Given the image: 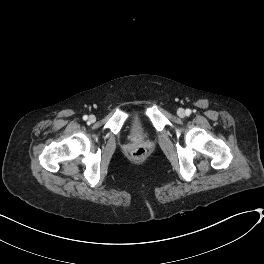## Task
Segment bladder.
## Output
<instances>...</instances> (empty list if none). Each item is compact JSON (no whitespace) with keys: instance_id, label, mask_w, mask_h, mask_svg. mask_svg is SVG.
<instances>
[{"instance_id":"bladder-1","label":"bladder","mask_w":264,"mask_h":264,"mask_svg":"<svg viewBox=\"0 0 264 264\" xmlns=\"http://www.w3.org/2000/svg\"><path fill=\"white\" fill-rule=\"evenodd\" d=\"M133 131H134V136H135L136 138H138V137L140 136L138 130H137L136 128H134Z\"/></svg>"}]
</instances>
